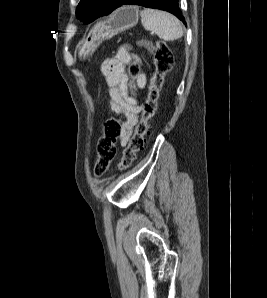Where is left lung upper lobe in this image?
<instances>
[{
	"label": "left lung upper lobe",
	"mask_w": 267,
	"mask_h": 298,
	"mask_svg": "<svg viewBox=\"0 0 267 298\" xmlns=\"http://www.w3.org/2000/svg\"><path fill=\"white\" fill-rule=\"evenodd\" d=\"M116 0H81L76 9L78 19L87 23L109 11Z\"/></svg>",
	"instance_id": "5c2ea615"
}]
</instances>
